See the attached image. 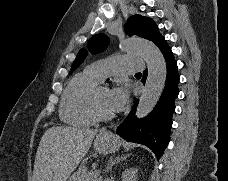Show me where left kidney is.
<instances>
[{"label": "left kidney", "instance_id": "obj_1", "mask_svg": "<svg viewBox=\"0 0 228 181\" xmlns=\"http://www.w3.org/2000/svg\"><path fill=\"white\" fill-rule=\"evenodd\" d=\"M138 169H126L122 173V181H137Z\"/></svg>", "mask_w": 228, "mask_h": 181}]
</instances>
